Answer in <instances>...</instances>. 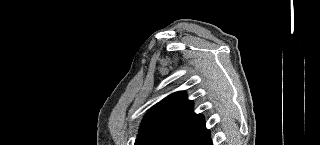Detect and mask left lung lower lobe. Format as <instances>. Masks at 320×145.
<instances>
[{
	"label": "left lung lower lobe",
	"instance_id": "0a47b994",
	"mask_svg": "<svg viewBox=\"0 0 320 145\" xmlns=\"http://www.w3.org/2000/svg\"><path fill=\"white\" fill-rule=\"evenodd\" d=\"M179 145H213L205 124L188 134Z\"/></svg>",
	"mask_w": 320,
	"mask_h": 145
}]
</instances>
